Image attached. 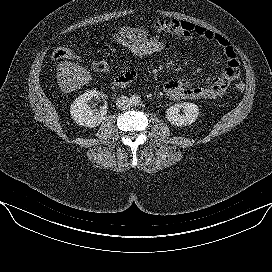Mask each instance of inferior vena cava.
Masks as SVG:
<instances>
[{"instance_id":"obj_1","label":"inferior vena cava","mask_w":272,"mask_h":272,"mask_svg":"<svg viewBox=\"0 0 272 272\" xmlns=\"http://www.w3.org/2000/svg\"><path fill=\"white\" fill-rule=\"evenodd\" d=\"M116 106L118 109H121V110H126V109L130 108L131 107L130 98H128L126 96H121V97L117 98Z\"/></svg>"}]
</instances>
